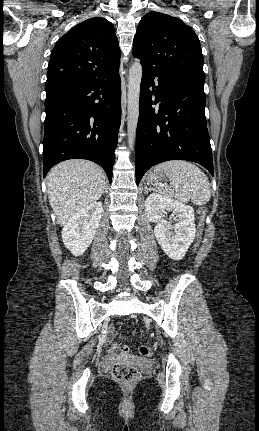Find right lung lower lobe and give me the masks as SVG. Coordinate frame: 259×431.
I'll return each mask as SVG.
<instances>
[{
	"mask_svg": "<svg viewBox=\"0 0 259 431\" xmlns=\"http://www.w3.org/2000/svg\"><path fill=\"white\" fill-rule=\"evenodd\" d=\"M43 175L73 158L91 160L112 180L121 114L119 71L46 91Z\"/></svg>",
	"mask_w": 259,
	"mask_h": 431,
	"instance_id": "1",
	"label": "right lung lower lobe"
}]
</instances>
